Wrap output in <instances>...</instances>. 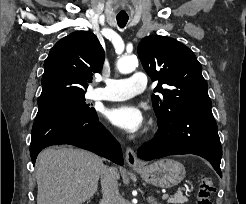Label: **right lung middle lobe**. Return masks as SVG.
<instances>
[{
  "label": "right lung middle lobe",
  "mask_w": 246,
  "mask_h": 204,
  "mask_svg": "<svg viewBox=\"0 0 246 204\" xmlns=\"http://www.w3.org/2000/svg\"><path fill=\"white\" fill-rule=\"evenodd\" d=\"M85 92L81 93H67L62 94L57 97L44 100V101H38L39 106L41 105H58V106H64L69 107L77 112L84 113V114H90L95 111L94 108L90 107L89 104L85 103Z\"/></svg>",
  "instance_id": "dd1d6c3e"
}]
</instances>
